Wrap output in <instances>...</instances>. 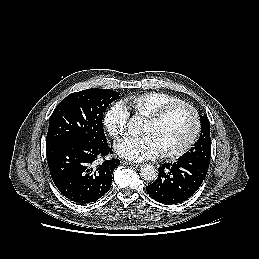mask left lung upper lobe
<instances>
[{"label": "left lung upper lobe", "instance_id": "obj_1", "mask_svg": "<svg viewBox=\"0 0 259 259\" xmlns=\"http://www.w3.org/2000/svg\"><path fill=\"white\" fill-rule=\"evenodd\" d=\"M197 160L210 163L211 156V138L210 122L206 116L201 117V134L198 141L190 151L184 154Z\"/></svg>", "mask_w": 259, "mask_h": 259}]
</instances>
